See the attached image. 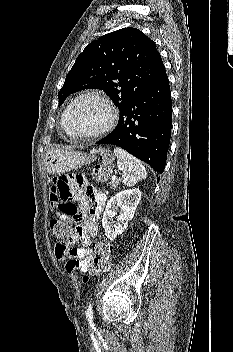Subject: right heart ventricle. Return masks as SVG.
Returning <instances> with one entry per match:
<instances>
[{"instance_id":"right-heart-ventricle-1","label":"right heart ventricle","mask_w":233,"mask_h":352,"mask_svg":"<svg viewBox=\"0 0 233 352\" xmlns=\"http://www.w3.org/2000/svg\"><path fill=\"white\" fill-rule=\"evenodd\" d=\"M66 111H67V108L65 109V111L62 113V116H61V127L66 134H69L65 123Z\"/></svg>"}]
</instances>
